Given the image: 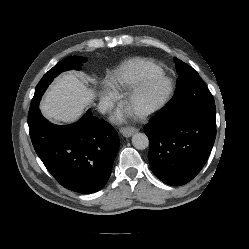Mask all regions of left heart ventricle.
I'll use <instances>...</instances> for the list:
<instances>
[{
	"label": "left heart ventricle",
	"instance_id": "obj_1",
	"mask_svg": "<svg viewBox=\"0 0 249 249\" xmlns=\"http://www.w3.org/2000/svg\"><path fill=\"white\" fill-rule=\"evenodd\" d=\"M166 89L165 84H158L151 88L140 100V105L151 103L162 96Z\"/></svg>",
	"mask_w": 249,
	"mask_h": 249
}]
</instances>
